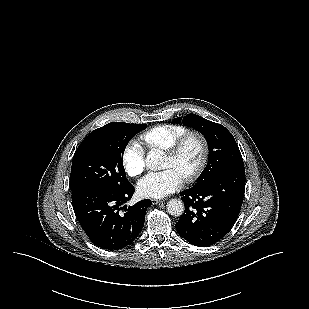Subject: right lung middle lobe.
Here are the masks:
<instances>
[{
    "instance_id": "dd1d6c3e",
    "label": "right lung middle lobe",
    "mask_w": 309,
    "mask_h": 309,
    "mask_svg": "<svg viewBox=\"0 0 309 309\" xmlns=\"http://www.w3.org/2000/svg\"><path fill=\"white\" fill-rule=\"evenodd\" d=\"M145 124L114 122L92 131L77 148L72 162V192L103 188L121 191L130 183L123 167V153L131 138Z\"/></svg>"
}]
</instances>
